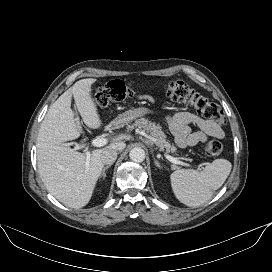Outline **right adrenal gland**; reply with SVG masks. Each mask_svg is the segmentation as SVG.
<instances>
[{
  "label": "right adrenal gland",
  "mask_w": 272,
  "mask_h": 272,
  "mask_svg": "<svg viewBox=\"0 0 272 272\" xmlns=\"http://www.w3.org/2000/svg\"><path fill=\"white\" fill-rule=\"evenodd\" d=\"M110 167H111V165H107V166H105V167L103 168V171H102V173H101V178H102V179H104V178L106 177L105 171H106L108 168H110Z\"/></svg>",
  "instance_id": "obj_1"
}]
</instances>
